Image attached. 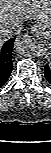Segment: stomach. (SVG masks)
<instances>
[{
    "label": "stomach",
    "mask_w": 51,
    "mask_h": 153,
    "mask_svg": "<svg viewBox=\"0 0 51 153\" xmlns=\"http://www.w3.org/2000/svg\"><path fill=\"white\" fill-rule=\"evenodd\" d=\"M38 28H39L38 36L42 44L49 49L51 47V25L45 26L43 24H39Z\"/></svg>",
    "instance_id": "0dacf381"
}]
</instances>
